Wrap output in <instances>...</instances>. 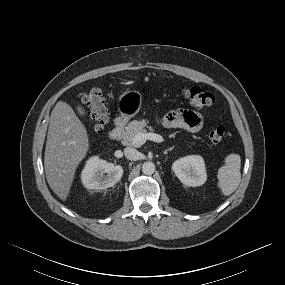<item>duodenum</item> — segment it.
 Returning <instances> with one entry per match:
<instances>
[{"label":"duodenum","instance_id":"duodenum-1","mask_svg":"<svg viewBox=\"0 0 285 285\" xmlns=\"http://www.w3.org/2000/svg\"><path fill=\"white\" fill-rule=\"evenodd\" d=\"M124 126H125V120L121 118L117 119L114 123V126L108 132L109 138L113 140L120 138Z\"/></svg>","mask_w":285,"mask_h":285}]
</instances>
